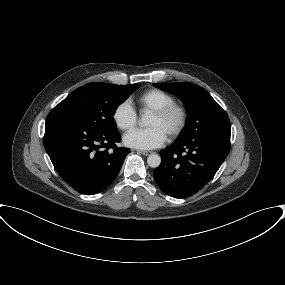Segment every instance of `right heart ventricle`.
<instances>
[{"label":"right heart ventricle","mask_w":285,"mask_h":285,"mask_svg":"<svg viewBox=\"0 0 285 285\" xmlns=\"http://www.w3.org/2000/svg\"><path fill=\"white\" fill-rule=\"evenodd\" d=\"M141 111H153L175 102L173 95L161 89H149L136 98Z\"/></svg>","instance_id":"e07e8e85"}]
</instances>
